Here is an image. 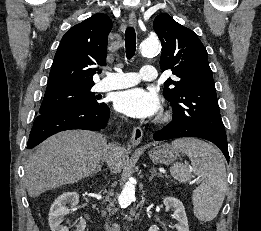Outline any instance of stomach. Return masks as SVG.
<instances>
[{
  "label": "stomach",
  "mask_w": 261,
  "mask_h": 231,
  "mask_svg": "<svg viewBox=\"0 0 261 231\" xmlns=\"http://www.w3.org/2000/svg\"><path fill=\"white\" fill-rule=\"evenodd\" d=\"M179 152L173 145L164 144L152 148L148 154L154 163L169 165L180 156Z\"/></svg>",
  "instance_id": "obj_1"
}]
</instances>
